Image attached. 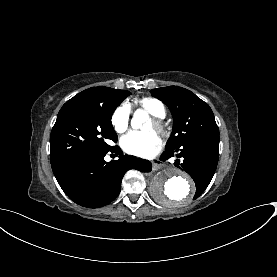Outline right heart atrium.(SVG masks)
Returning <instances> with one entry per match:
<instances>
[{"mask_svg":"<svg viewBox=\"0 0 277 277\" xmlns=\"http://www.w3.org/2000/svg\"><path fill=\"white\" fill-rule=\"evenodd\" d=\"M130 112L125 106L118 107L112 115L111 121L114 129L118 133L128 130L130 123Z\"/></svg>","mask_w":277,"mask_h":277,"instance_id":"1","label":"right heart atrium"}]
</instances>
